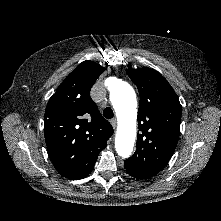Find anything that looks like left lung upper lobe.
I'll list each match as a JSON object with an SVG mask.
<instances>
[{"mask_svg": "<svg viewBox=\"0 0 221 221\" xmlns=\"http://www.w3.org/2000/svg\"><path fill=\"white\" fill-rule=\"evenodd\" d=\"M136 84L140 103L136 151L125 160L127 173L146 179L160 172L171 159L179 139L181 105L168 81L151 68L126 70Z\"/></svg>", "mask_w": 221, "mask_h": 221, "instance_id": "1", "label": "left lung upper lobe"}]
</instances>
